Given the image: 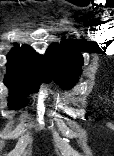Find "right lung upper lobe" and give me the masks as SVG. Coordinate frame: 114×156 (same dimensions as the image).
I'll list each match as a JSON object with an SVG mask.
<instances>
[{
  "mask_svg": "<svg viewBox=\"0 0 114 156\" xmlns=\"http://www.w3.org/2000/svg\"><path fill=\"white\" fill-rule=\"evenodd\" d=\"M7 59V74L4 79L6 84L19 86L36 78L53 75L49 61L27 45L14 47Z\"/></svg>",
  "mask_w": 114,
  "mask_h": 156,
  "instance_id": "obj_1",
  "label": "right lung upper lobe"
}]
</instances>
